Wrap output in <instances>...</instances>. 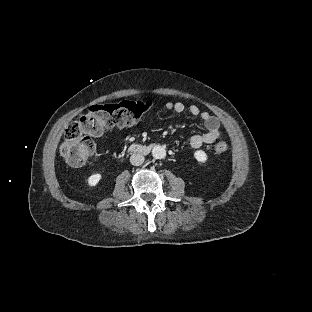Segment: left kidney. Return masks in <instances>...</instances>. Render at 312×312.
Returning a JSON list of instances; mask_svg holds the SVG:
<instances>
[{
	"label": "left kidney",
	"mask_w": 312,
	"mask_h": 312,
	"mask_svg": "<svg viewBox=\"0 0 312 312\" xmlns=\"http://www.w3.org/2000/svg\"><path fill=\"white\" fill-rule=\"evenodd\" d=\"M194 157L198 162L204 163L207 160V154L203 150H197Z\"/></svg>",
	"instance_id": "left-kidney-1"
}]
</instances>
